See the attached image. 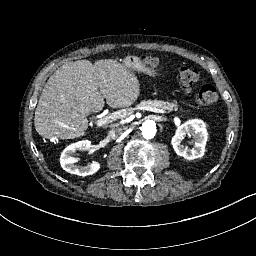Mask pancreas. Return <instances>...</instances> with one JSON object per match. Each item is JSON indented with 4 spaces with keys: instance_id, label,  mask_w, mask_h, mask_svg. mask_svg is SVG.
I'll return each mask as SVG.
<instances>
[{
    "instance_id": "pancreas-1",
    "label": "pancreas",
    "mask_w": 256,
    "mask_h": 256,
    "mask_svg": "<svg viewBox=\"0 0 256 256\" xmlns=\"http://www.w3.org/2000/svg\"><path fill=\"white\" fill-rule=\"evenodd\" d=\"M146 106L160 108V109L168 110V111L177 110L176 102L169 103V102H164V101H159V100H153V101H147Z\"/></svg>"
}]
</instances>
